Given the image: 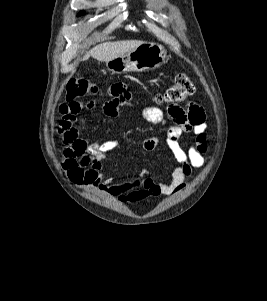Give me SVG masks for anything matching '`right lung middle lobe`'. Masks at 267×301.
<instances>
[{
  "label": "right lung middle lobe",
  "mask_w": 267,
  "mask_h": 301,
  "mask_svg": "<svg viewBox=\"0 0 267 301\" xmlns=\"http://www.w3.org/2000/svg\"><path fill=\"white\" fill-rule=\"evenodd\" d=\"M83 14H85V11H81V12H79V14H78L77 16H79V15H83Z\"/></svg>",
  "instance_id": "dd1d6c3e"
}]
</instances>
